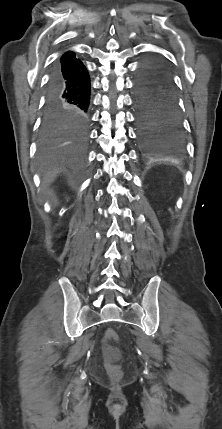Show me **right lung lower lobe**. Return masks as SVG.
<instances>
[{
  "label": "right lung lower lobe",
  "instance_id": "1",
  "mask_svg": "<svg viewBox=\"0 0 222 429\" xmlns=\"http://www.w3.org/2000/svg\"><path fill=\"white\" fill-rule=\"evenodd\" d=\"M89 99L88 71L75 53L68 51L52 67L42 125L81 134L88 122Z\"/></svg>",
  "mask_w": 222,
  "mask_h": 429
}]
</instances>
